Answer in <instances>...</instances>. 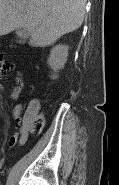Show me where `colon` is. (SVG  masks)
Masks as SVG:
<instances>
[{
    "label": "colon",
    "instance_id": "5ec220e1",
    "mask_svg": "<svg viewBox=\"0 0 119 185\" xmlns=\"http://www.w3.org/2000/svg\"><path fill=\"white\" fill-rule=\"evenodd\" d=\"M29 122V132L33 134H39L45 124V119L42 115L36 114H28L27 116Z\"/></svg>",
    "mask_w": 119,
    "mask_h": 185
}]
</instances>
